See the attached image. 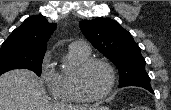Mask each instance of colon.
<instances>
[{
	"label": "colon",
	"mask_w": 171,
	"mask_h": 110,
	"mask_svg": "<svg viewBox=\"0 0 171 110\" xmlns=\"http://www.w3.org/2000/svg\"><path fill=\"white\" fill-rule=\"evenodd\" d=\"M131 110H140L139 108H132Z\"/></svg>",
	"instance_id": "1"
}]
</instances>
